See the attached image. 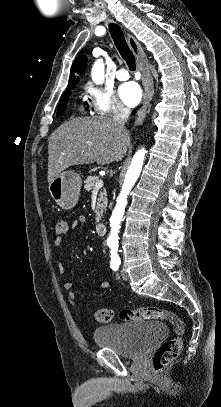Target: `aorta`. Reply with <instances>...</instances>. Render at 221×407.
Segmentation results:
<instances>
[{"instance_id":"762f6f07","label":"aorta","mask_w":221,"mask_h":407,"mask_svg":"<svg viewBox=\"0 0 221 407\" xmlns=\"http://www.w3.org/2000/svg\"><path fill=\"white\" fill-rule=\"evenodd\" d=\"M92 79L96 84H101L104 81V63L101 59L97 60L92 68ZM146 154L145 149L138 150L133 159L131 164L127 170L125 175L124 183L121 189V192L117 198L116 206L112 212L110 218V226L111 231L109 237L107 239V244L111 251V260L112 261H119L120 258L118 256V246H119V237L118 232L120 228V223L122 221L125 207L127 204V197L136 183L143 166L144 157Z\"/></svg>"}]
</instances>
